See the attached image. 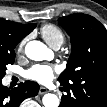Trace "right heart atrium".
I'll use <instances>...</instances> for the list:
<instances>
[{
  "instance_id": "right-heart-atrium-1",
  "label": "right heart atrium",
  "mask_w": 107,
  "mask_h": 107,
  "mask_svg": "<svg viewBox=\"0 0 107 107\" xmlns=\"http://www.w3.org/2000/svg\"><path fill=\"white\" fill-rule=\"evenodd\" d=\"M26 41H27V38H24V39L19 43L18 48H17L18 52L23 51L24 46H25V44H26Z\"/></svg>"
}]
</instances>
